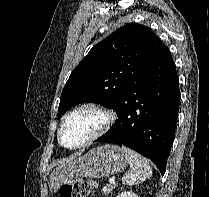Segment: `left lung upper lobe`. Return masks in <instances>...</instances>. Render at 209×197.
Returning <instances> with one entry per match:
<instances>
[{"mask_svg":"<svg viewBox=\"0 0 209 197\" xmlns=\"http://www.w3.org/2000/svg\"><path fill=\"white\" fill-rule=\"evenodd\" d=\"M164 46L146 26L131 23L117 29L96 44L72 71L62 91L58 116L88 102L115 110Z\"/></svg>","mask_w":209,"mask_h":197,"instance_id":"obj_1","label":"left lung upper lobe"}]
</instances>
